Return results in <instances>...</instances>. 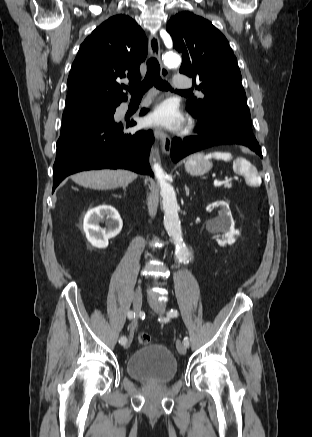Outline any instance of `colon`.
I'll list each match as a JSON object with an SVG mask.
<instances>
[{"instance_id":"obj_1","label":"colon","mask_w":312,"mask_h":437,"mask_svg":"<svg viewBox=\"0 0 312 437\" xmlns=\"http://www.w3.org/2000/svg\"><path fill=\"white\" fill-rule=\"evenodd\" d=\"M151 341V337L148 333L146 332H140L138 334V342L142 345H147L149 344Z\"/></svg>"}]
</instances>
